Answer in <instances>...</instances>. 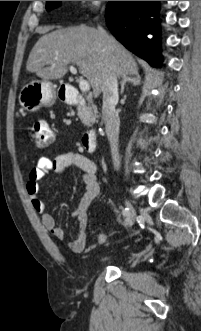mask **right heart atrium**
<instances>
[{
  "instance_id": "d8ad5b80",
  "label": "right heart atrium",
  "mask_w": 201,
  "mask_h": 331,
  "mask_svg": "<svg viewBox=\"0 0 201 331\" xmlns=\"http://www.w3.org/2000/svg\"><path fill=\"white\" fill-rule=\"evenodd\" d=\"M83 2H87L90 4V6L93 8V9H97L99 8L100 4H101V1H83Z\"/></svg>"
}]
</instances>
